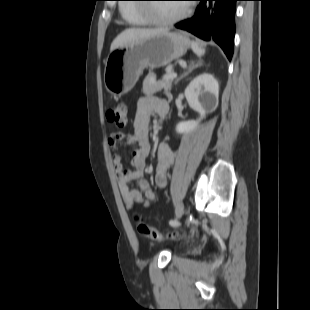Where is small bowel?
<instances>
[{
  "label": "small bowel",
  "mask_w": 310,
  "mask_h": 310,
  "mask_svg": "<svg viewBox=\"0 0 310 310\" xmlns=\"http://www.w3.org/2000/svg\"><path fill=\"white\" fill-rule=\"evenodd\" d=\"M152 114L165 118L168 114L167 102L152 96L141 97L137 103L132 129L126 134L114 132L108 138V145L113 150L112 160L118 174L119 190L129 210H133L136 203L149 207L156 199V194L144 178L146 159L150 151L149 123ZM122 143L135 146L130 169H125L122 165V157L118 152ZM157 161L155 184L157 188L164 189L168 183L167 170L175 161V153L167 143L159 144ZM132 183L137 186L132 187Z\"/></svg>",
  "instance_id": "obj_1"
}]
</instances>
